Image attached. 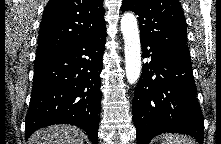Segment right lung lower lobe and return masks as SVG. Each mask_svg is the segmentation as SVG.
<instances>
[{
	"instance_id": "1",
	"label": "right lung lower lobe",
	"mask_w": 221,
	"mask_h": 144,
	"mask_svg": "<svg viewBox=\"0 0 221 144\" xmlns=\"http://www.w3.org/2000/svg\"><path fill=\"white\" fill-rule=\"evenodd\" d=\"M106 36L105 29L35 63L26 139L42 127L70 124L82 128L97 144Z\"/></svg>"
}]
</instances>
